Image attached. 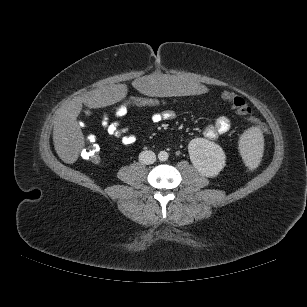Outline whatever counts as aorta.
<instances>
[{
	"instance_id": "762f6f07",
	"label": "aorta",
	"mask_w": 307,
	"mask_h": 307,
	"mask_svg": "<svg viewBox=\"0 0 307 307\" xmlns=\"http://www.w3.org/2000/svg\"><path fill=\"white\" fill-rule=\"evenodd\" d=\"M168 157H169V154L166 152V151H160L159 153H158V159H159V161H166L167 159H168Z\"/></svg>"
}]
</instances>
